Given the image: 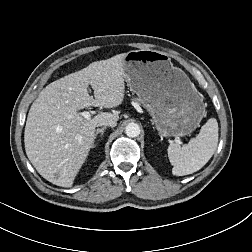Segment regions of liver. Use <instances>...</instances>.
<instances>
[{"label":"liver","mask_w":252,"mask_h":252,"mask_svg":"<svg viewBox=\"0 0 252 252\" xmlns=\"http://www.w3.org/2000/svg\"><path fill=\"white\" fill-rule=\"evenodd\" d=\"M124 54L91 63L47 85L32 104L24 132L27 157L47 181L72 187L94 143L102 121H118L117 114L101 112L85 119L86 107L114 108L125 97ZM91 86L94 97L87 88Z\"/></svg>","instance_id":"6515ba94"}]
</instances>
